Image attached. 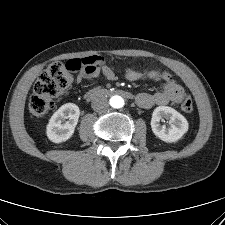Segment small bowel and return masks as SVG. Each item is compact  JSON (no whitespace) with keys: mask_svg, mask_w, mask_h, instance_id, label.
I'll list each match as a JSON object with an SVG mask.
<instances>
[{"mask_svg":"<svg viewBox=\"0 0 225 225\" xmlns=\"http://www.w3.org/2000/svg\"><path fill=\"white\" fill-rule=\"evenodd\" d=\"M103 76L107 80H115L116 74L113 70L105 64L103 58L100 59L99 64L93 68L92 71H81L77 77V82L91 77ZM126 78L131 81L139 79L133 74H126ZM185 91L183 86L176 79H169L165 81L163 88L159 92L145 93L141 92L136 95V103L141 108H151L153 106L166 105L168 103H180Z\"/></svg>","mask_w":225,"mask_h":225,"instance_id":"1","label":"small bowel"}]
</instances>
